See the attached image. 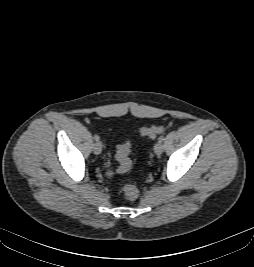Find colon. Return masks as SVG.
Listing matches in <instances>:
<instances>
[{"mask_svg":"<svg viewBox=\"0 0 254 267\" xmlns=\"http://www.w3.org/2000/svg\"><path fill=\"white\" fill-rule=\"evenodd\" d=\"M164 131L163 126H150L145 127L140 130V135L142 137L154 138ZM131 143L130 141H125L117 147L116 158L118 160L117 171L121 174L130 171L132 163L130 159ZM122 194L124 198L128 200H135L138 197L139 191L136 186L132 184L125 185L122 189Z\"/></svg>","mask_w":254,"mask_h":267,"instance_id":"colon-1","label":"colon"}]
</instances>
